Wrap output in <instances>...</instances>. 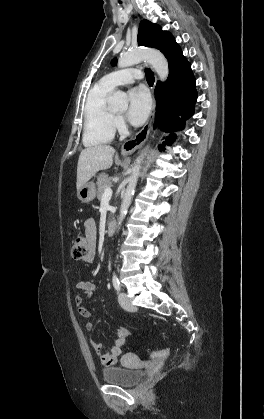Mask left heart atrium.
Here are the masks:
<instances>
[{
    "label": "left heart atrium",
    "mask_w": 264,
    "mask_h": 419,
    "mask_svg": "<svg viewBox=\"0 0 264 419\" xmlns=\"http://www.w3.org/2000/svg\"><path fill=\"white\" fill-rule=\"evenodd\" d=\"M151 99L143 88H133L129 92V107L127 116L134 125L142 124L148 117Z\"/></svg>",
    "instance_id": "obj_1"
}]
</instances>
